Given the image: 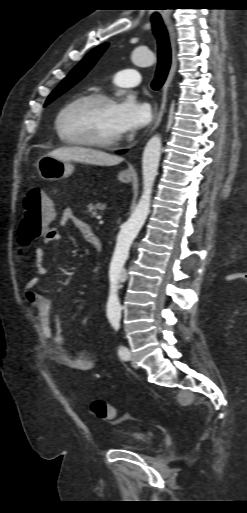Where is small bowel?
Wrapping results in <instances>:
<instances>
[{
    "instance_id": "small-bowel-1",
    "label": "small bowel",
    "mask_w": 247,
    "mask_h": 513,
    "mask_svg": "<svg viewBox=\"0 0 247 513\" xmlns=\"http://www.w3.org/2000/svg\"><path fill=\"white\" fill-rule=\"evenodd\" d=\"M59 226H72L87 239L93 233L90 225L75 216L74 211L67 207L61 212ZM62 235L56 227H50L42 235L43 244H50L59 241ZM45 252L42 246L36 248L34 263L36 275L29 278L25 283V301L36 312L37 320L41 326L43 335L47 341L46 351L49 357L58 364L82 372H90L95 369L96 361L93 353L89 350L72 351L69 349L66 339L62 334L60 322L53 312L50 298L37 291L40 284V277L45 275L47 267L44 262Z\"/></svg>"
}]
</instances>
